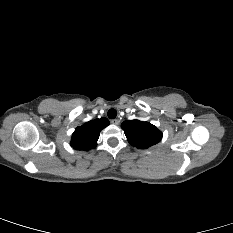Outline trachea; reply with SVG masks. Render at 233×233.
Returning a JSON list of instances; mask_svg holds the SVG:
<instances>
[{"mask_svg":"<svg viewBox=\"0 0 233 233\" xmlns=\"http://www.w3.org/2000/svg\"><path fill=\"white\" fill-rule=\"evenodd\" d=\"M107 115L110 119H114L117 116V111L115 109H110Z\"/></svg>","mask_w":233,"mask_h":233,"instance_id":"3493384b","label":"trachea"}]
</instances>
